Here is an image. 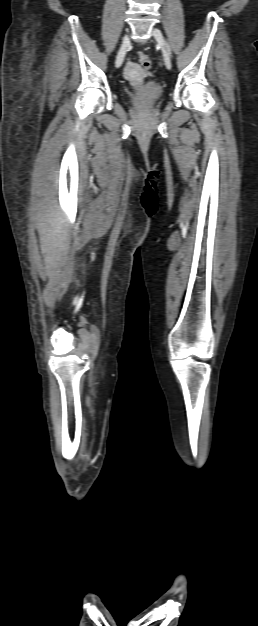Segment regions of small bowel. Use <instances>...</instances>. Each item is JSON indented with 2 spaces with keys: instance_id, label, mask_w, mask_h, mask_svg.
Returning a JSON list of instances; mask_svg holds the SVG:
<instances>
[{
  "instance_id": "obj_1",
  "label": "small bowel",
  "mask_w": 258,
  "mask_h": 626,
  "mask_svg": "<svg viewBox=\"0 0 258 626\" xmlns=\"http://www.w3.org/2000/svg\"><path fill=\"white\" fill-rule=\"evenodd\" d=\"M129 68H130V69L132 68V65H131V64L129 65Z\"/></svg>"
}]
</instances>
